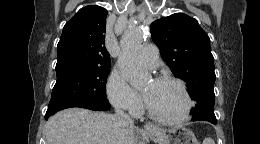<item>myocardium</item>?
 Wrapping results in <instances>:
<instances>
[{
  "mask_svg": "<svg viewBox=\"0 0 260 144\" xmlns=\"http://www.w3.org/2000/svg\"><path fill=\"white\" fill-rule=\"evenodd\" d=\"M154 82H156V83H171V84L178 86L180 88V90L182 91L185 99H186V109H185L184 114L181 117L168 118V117H164V116H161V115L155 113L150 108L147 101H145V108H146L148 116L155 121H158L160 123H165V124H181V123L186 122L190 118V115H191V112H192V109H193V106H194L192 97L190 95V92H189L186 84L182 80L175 78V77H171V76L158 77L154 80Z\"/></svg>",
  "mask_w": 260,
  "mask_h": 144,
  "instance_id": "f54148a6",
  "label": "myocardium"
}]
</instances>
